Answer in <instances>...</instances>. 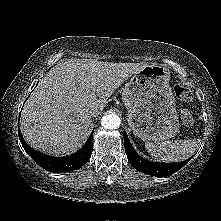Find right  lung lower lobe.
Segmentation results:
<instances>
[{
    "label": "right lung lower lobe",
    "instance_id": "right-lung-lower-lobe-1",
    "mask_svg": "<svg viewBox=\"0 0 221 221\" xmlns=\"http://www.w3.org/2000/svg\"><path fill=\"white\" fill-rule=\"evenodd\" d=\"M93 131L85 145L78 152L62 158L48 156L33 150L24 141L19 128L18 136L26 153L42 168L52 172H67L82 167L89 160L92 154Z\"/></svg>",
    "mask_w": 221,
    "mask_h": 221
}]
</instances>
